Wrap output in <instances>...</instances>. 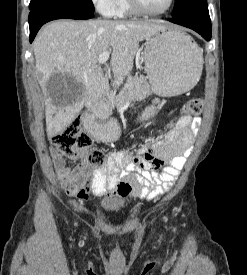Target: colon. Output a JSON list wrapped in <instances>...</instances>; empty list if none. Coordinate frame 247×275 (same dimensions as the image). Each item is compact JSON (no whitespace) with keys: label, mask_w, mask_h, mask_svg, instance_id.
I'll use <instances>...</instances> for the list:
<instances>
[{"label":"colon","mask_w":247,"mask_h":275,"mask_svg":"<svg viewBox=\"0 0 247 275\" xmlns=\"http://www.w3.org/2000/svg\"><path fill=\"white\" fill-rule=\"evenodd\" d=\"M203 100L194 97L183 106V113L187 116L198 115L202 112ZM51 143L72 160L84 159L94 169H100L105 164L104 153L98 147H93L91 137L83 130L80 119L73 120L64 130L51 138ZM130 186L120 183L118 193L128 194Z\"/></svg>","instance_id":"colon-1"}]
</instances>
